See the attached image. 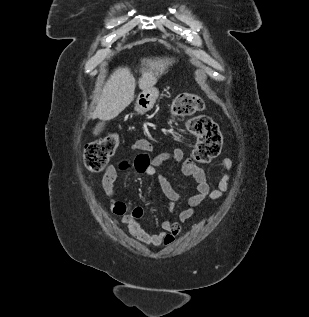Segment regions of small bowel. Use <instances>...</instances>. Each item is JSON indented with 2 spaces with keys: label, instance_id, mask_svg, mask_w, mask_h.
<instances>
[{
  "label": "small bowel",
  "instance_id": "obj_1",
  "mask_svg": "<svg viewBox=\"0 0 309 317\" xmlns=\"http://www.w3.org/2000/svg\"><path fill=\"white\" fill-rule=\"evenodd\" d=\"M156 149V145L148 139H140L130 146V152L135 153L131 160H123L119 167L122 170H133L147 177H156L160 186L161 196L170 204L180 200V194L172 187L168 179L161 173L160 168L168 162H180L184 153L178 147H171L169 152L150 156ZM233 162L224 158L218 165L217 173L219 180L215 186H211L205 172L199 168L192 157L183 162L182 171L185 175L192 177L196 185V193L188 200V208L183 210L178 221L164 220L159 232L150 233L141 226L144 212L141 207H133L118 199L115 181L118 171L115 165H109L102 177V188L109 200L111 211L120 216L122 222L127 226L130 234L139 242L147 246H168L182 230V223L196 215L198 209L206 198L212 200L220 199L227 192L230 184V172Z\"/></svg>",
  "mask_w": 309,
  "mask_h": 317
}]
</instances>
